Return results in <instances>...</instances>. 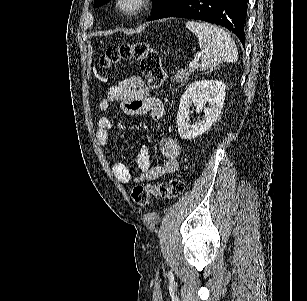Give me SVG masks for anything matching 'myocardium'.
I'll use <instances>...</instances> for the list:
<instances>
[{"label": "myocardium", "instance_id": "obj_1", "mask_svg": "<svg viewBox=\"0 0 307 301\" xmlns=\"http://www.w3.org/2000/svg\"><path fill=\"white\" fill-rule=\"evenodd\" d=\"M120 2V4H119ZM114 2L115 6L120 5V10L123 9L125 15H137L141 13L147 4V0H119Z\"/></svg>", "mask_w": 307, "mask_h": 301}]
</instances>
